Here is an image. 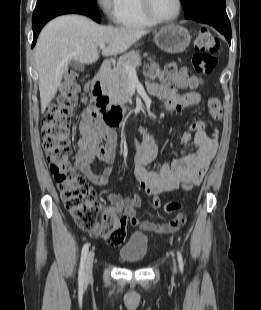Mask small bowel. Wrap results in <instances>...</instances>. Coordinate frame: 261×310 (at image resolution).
Wrapping results in <instances>:
<instances>
[{
	"instance_id": "1",
	"label": "small bowel",
	"mask_w": 261,
	"mask_h": 310,
	"mask_svg": "<svg viewBox=\"0 0 261 310\" xmlns=\"http://www.w3.org/2000/svg\"><path fill=\"white\" fill-rule=\"evenodd\" d=\"M148 91L164 100L169 110H181L187 106L197 105L201 102V95L194 89L173 88L156 81L147 84ZM83 121L78 126L80 139L77 144L75 168L94 185L107 184L111 176L116 159V135L109 129L99 130L89 120L92 107L87 99H83ZM143 140L135 144L134 175L146 195L154 198L155 206L159 205L158 196L163 192L173 191L185 182L198 185L205 175L218 148L217 137H210L204 131V123L194 122L189 131L182 136V142L188 144L192 139L197 147L193 154L174 160L170 165L162 164L155 170H148L147 166L158 154V140L147 128L141 129ZM191 132H193V137ZM97 162L104 166L96 171ZM111 207L104 211L105 216L124 213L134 227L152 230V223L142 222L136 213L141 205L139 195L123 198L116 193L108 194Z\"/></svg>"
}]
</instances>
